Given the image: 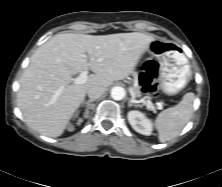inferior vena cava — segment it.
I'll return each instance as SVG.
<instances>
[{
	"label": "inferior vena cava",
	"mask_w": 222,
	"mask_h": 187,
	"mask_svg": "<svg viewBox=\"0 0 222 187\" xmlns=\"http://www.w3.org/2000/svg\"><path fill=\"white\" fill-rule=\"evenodd\" d=\"M105 90L102 86H92L87 90V94L91 99H97L105 93Z\"/></svg>",
	"instance_id": "obj_1"
}]
</instances>
